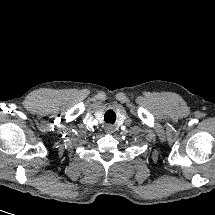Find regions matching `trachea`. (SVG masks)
Instances as JSON below:
<instances>
[{
    "mask_svg": "<svg viewBox=\"0 0 215 215\" xmlns=\"http://www.w3.org/2000/svg\"><path fill=\"white\" fill-rule=\"evenodd\" d=\"M104 120L106 123H111L113 124L116 120V114L114 111L112 110H109L105 113V116H104Z\"/></svg>",
    "mask_w": 215,
    "mask_h": 215,
    "instance_id": "3493384b",
    "label": "trachea"
}]
</instances>
